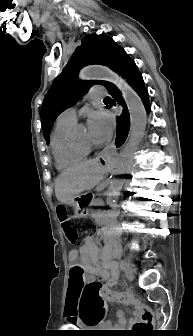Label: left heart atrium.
<instances>
[{
	"mask_svg": "<svg viewBox=\"0 0 193 336\" xmlns=\"http://www.w3.org/2000/svg\"><path fill=\"white\" fill-rule=\"evenodd\" d=\"M88 134L95 143H102L110 136L114 121L111 115L106 111H94L89 115Z\"/></svg>",
	"mask_w": 193,
	"mask_h": 336,
	"instance_id": "1",
	"label": "left heart atrium"
}]
</instances>
